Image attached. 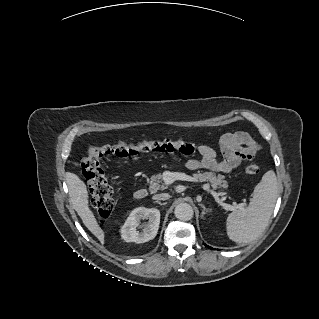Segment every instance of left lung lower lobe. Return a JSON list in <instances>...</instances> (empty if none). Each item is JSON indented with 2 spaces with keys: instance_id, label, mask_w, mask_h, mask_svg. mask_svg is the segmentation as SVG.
Segmentation results:
<instances>
[{
  "instance_id": "1",
  "label": "left lung lower lobe",
  "mask_w": 319,
  "mask_h": 319,
  "mask_svg": "<svg viewBox=\"0 0 319 319\" xmlns=\"http://www.w3.org/2000/svg\"><path fill=\"white\" fill-rule=\"evenodd\" d=\"M208 248H210V249H213V248H211V247H209V246H207Z\"/></svg>"
}]
</instances>
